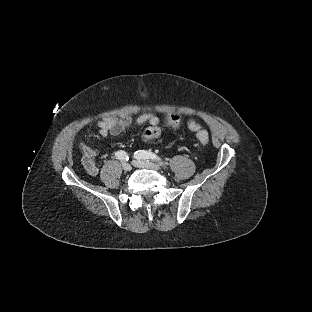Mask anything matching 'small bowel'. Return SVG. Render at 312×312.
<instances>
[{"label":"small bowel","instance_id":"1","mask_svg":"<svg viewBox=\"0 0 312 312\" xmlns=\"http://www.w3.org/2000/svg\"><path fill=\"white\" fill-rule=\"evenodd\" d=\"M133 122L130 115H123L121 117L108 116L103 118L97 123L98 133L100 136L119 135L127 129ZM135 123L142 125L144 123H157L160 124V118L155 113H143L138 116ZM187 127L190 131L197 133L201 130V124L191 118L187 122ZM80 151L82 154V164L84 169L89 175L96 176L99 173V167L95 163L96 150L86 143H80Z\"/></svg>","mask_w":312,"mask_h":312}]
</instances>
